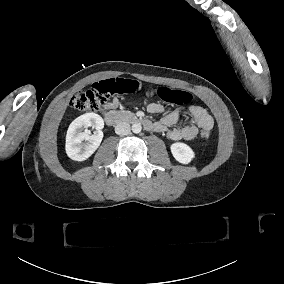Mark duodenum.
<instances>
[{
  "mask_svg": "<svg viewBox=\"0 0 284 284\" xmlns=\"http://www.w3.org/2000/svg\"><path fill=\"white\" fill-rule=\"evenodd\" d=\"M104 120L107 124L115 126L124 122H129L132 124L143 125L146 129L150 128V122L143 119L140 116L130 114V113H119L116 111H107L104 113Z\"/></svg>",
  "mask_w": 284,
  "mask_h": 284,
  "instance_id": "duodenum-1",
  "label": "duodenum"
}]
</instances>
